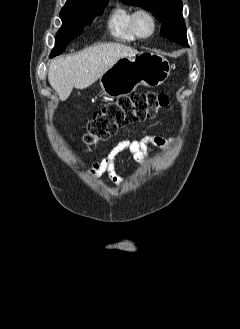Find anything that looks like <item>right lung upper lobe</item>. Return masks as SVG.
Returning a JSON list of instances; mask_svg holds the SVG:
<instances>
[{
    "label": "right lung upper lobe",
    "instance_id": "1",
    "mask_svg": "<svg viewBox=\"0 0 240 329\" xmlns=\"http://www.w3.org/2000/svg\"><path fill=\"white\" fill-rule=\"evenodd\" d=\"M99 0H67L65 6L86 5Z\"/></svg>",
    "mask_w": 240,
    "mask_h": 329
}]
</instances>
